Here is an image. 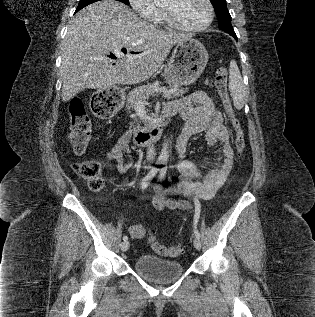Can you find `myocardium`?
<instances>
[{"label":"myocardium","mask_w":315,"mask_h":317,"mask_svg":"<svg viewBox=\"0 0 315 317\" xmlns=\"http://www.w3.org/2000/svg\"><path fill=\"white\" fill-rule=\"evenodd\" d=\"M204 2H205L207 9H208V17L202 25H199V26L183 25V24L179 23L178 21H176V19L173 17L172 13L169 10L163 8V14H164L165 21L172 28L180 30V31H185V32L204 31L212 24L213 19H214V15H215L214 7H213L211 0H204Z\"/></svg>","instance_id":"myocardium-1"}]
</instances>
